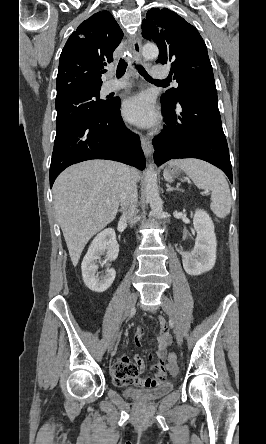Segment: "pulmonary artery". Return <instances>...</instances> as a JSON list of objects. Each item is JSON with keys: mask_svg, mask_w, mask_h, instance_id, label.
<instances>
[{"mask_svg": "<svg viewBox=\"0 0 266 444\" xmlns=\"http://www.w3.org/2000/svg\"><path fill=\"white\" fill-rule=\"evenodd\" d=\"M150 74L155 79H165L167 77V71L164 66L151 67ZM173 85L175 86L176 84L173 83ZM128 86H129V84L126 81H118V82L110 81L106 84L105 91L108 93L114 92V91H119L121 89H125Z\"/></svg>", "mask_w": 266, "mask_h": 444, "instance_id": "obj_1", "label": "pulmonary artery"}]
</instances>
